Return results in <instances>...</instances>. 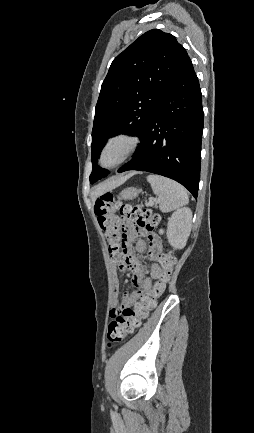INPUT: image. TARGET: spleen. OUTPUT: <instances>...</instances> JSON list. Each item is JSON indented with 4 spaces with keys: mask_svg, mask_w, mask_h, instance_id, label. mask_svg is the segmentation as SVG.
<instances>
[{
    "mask_svg": "<svg viewBox=\"0 0 254 433\" xmlns=\"http://www.w3.org/2000/svg\"><path fill=\"white\" fill-rule=\"evenodd\" d=\"M147 181L150 183L154 194L159 197L162 212H170L188 204L189 198L186 189L176 181L153 174L147 176Z\"/></svg>",
    "mask_w": 254,
    "mask_h": 433,
    "instance_id": "3e777b00",
    "label": "spleen"
}]
</instances>
